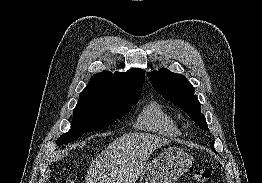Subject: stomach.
<instances>
[{
  "instance_id": "1",
  "label": "stomach",
  "mask_w": 262,
  "mask_h": 183,
  "mask_svg": "<svg viewBox=\"0 0 262 183\" xmlns=\"http://www.w3.org/2000/svg\"><path fill=\"white\" fill-rule=\"evenodd\" d=\"M193 158L177 147L166 148L144 169L139 183H177L181 174L189 170Z\"/></svg>"
}]
</instances>
